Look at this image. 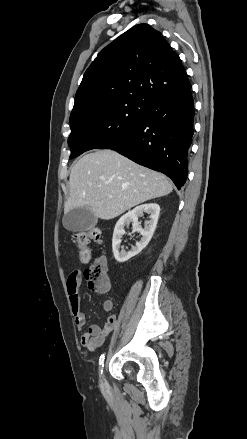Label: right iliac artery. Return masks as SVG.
Listing matches in <instances>:
<instances>
[{
    "label": "right iliac artery",
    "instance_id": "1",
    "mask_svg": "<svg viewBox=\"0 0 247 439\" xmlns=\"http://www.w3.org/2000/svg\"><path fill=\"white\" fill-rule=\"evenodd\" d=\"M104 360H105V355L102 354V355L100 356V358H99V365H100V368L104 366ZM101 372H102V370H101Z\"/></svg>",
    "mask_w": 247,
    "mask_h": 439
}]
</instances>
